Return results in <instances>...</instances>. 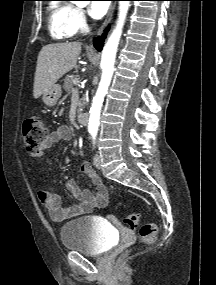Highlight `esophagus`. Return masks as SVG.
<instances>
[{
    "mask_svg": "<svg viewBox=\"0 0 216 285\" xmlns=\"http://www.w3.org/2000/svg\"><path fill=\"white\" fill-rule=\"evenodd\" d=\"M114 11H115V3L111 4L109 11H108V14H107V17L105 19V22H104L103 26L99 29L97 36H99L103 33L105 26L111 21V18L113 16Z\"/></svg>",
    "mask_w": 216,
    "mask_h": 285,
    "instance_id": "obj_1",
    "label": "esophagus"
}]
</instances>
